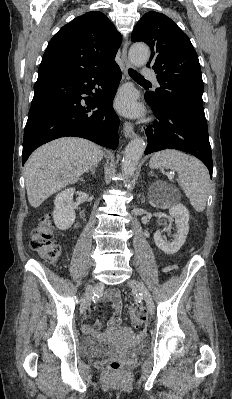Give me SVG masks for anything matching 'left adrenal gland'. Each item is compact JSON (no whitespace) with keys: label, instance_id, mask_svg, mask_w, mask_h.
<instances>
[{"label":"left adrenal gland","instance_id":"obj_1","mask_svg":"<svg viewBox=\"0 0 232 399\" xmlns=\"http://www.w3.org/2000/svg\"><path fill=\"white\" fill-rule=\"evenodd\" d=\"M149 176H153L152 172H150Z\"/></svg>","mask_w":232,"mask_h":399}]
</instances>
